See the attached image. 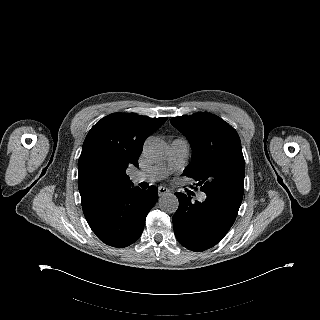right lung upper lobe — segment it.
Masks as SVG:
<instances>
[{"label": "right lung upper lobe", "instance_id": "right-lung-upper-lobe-1", "mask_svg": "<svg viewBox=\"0 0 320 320\" xmlns=\"http://www.w3.org/2000/svg\"><path fill=\"white\" fill-rule=\"evenodd\" d=\"M166 120L114 113L98 121L84 141L78 162L81 200L103 190L130 186L127 167L138 166L144 141Z\"/></svg>", "mask_w": 320, "mask_h": 320}]
</instances>
